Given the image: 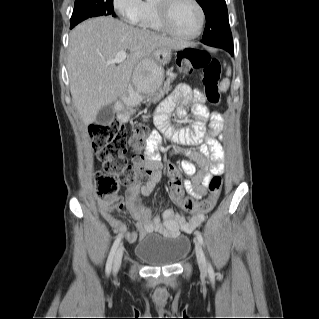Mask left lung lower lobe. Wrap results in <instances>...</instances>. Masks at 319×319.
Segmentation results:
<instances>
[{
	"mask_svg": "<svg viewBox=\"0 0 319 319\" xmlns=\"http://www.w3.org/2000/svg\"><path fill=\"white\" fill-rule=\"evenodd\" d=\"M221 48L225 49L233 56V53H234L233 44H225Z\"/></svg>",
	"mask_w": 319,
	"mask_h": 319,
	"instance_id": "1",
	"label": "left lung lower lobe"
}]
</instances>
